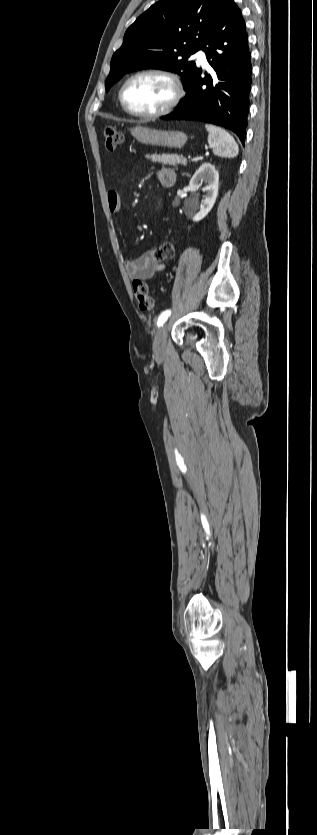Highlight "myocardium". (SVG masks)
<instances>
[{
	"label": "myocardium",
	"mask_w": 317,
	"mask_h": 835,
	"mask_svg": "<svg viewBox=\"0 0 317 835\" xmlns=\"http://www.w3.org/2000/svg\"><path fill=\"white\" fill-rule=\"evenodd\" d=\"M144 75L161 76V77L167 79L170 82V84L173 88V96L169 100V102L163 108H161L160 110H157V111L151 112V113L137 112V111L132 110L127 105V103L124 99V91H125L127 85L132 80H134V79H136L140 76H144ZM183 97H184V89H183V85H182V82H181L180 78L176 74H174L173 72H171L169 70H166V69H161V68H147V69H143V70H140V71H137V72L133 73L132 75H130L123 82L122 86L120 87L119 93H118L119 102H120L122 108L128 114H130L132 116H135V117L146 118V119H154V118L162 117V116H165V115L171 113L179 105V103L181 102Z\"/></svg>",
	"instance_id": "myocardium-1"
}]
</instances>
